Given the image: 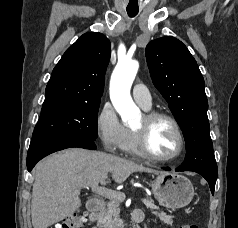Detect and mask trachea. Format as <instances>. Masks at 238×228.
<instances>
[{"label":"trachea","mask_w":238,"mask_h":228,"mask_svg":"<svg viewBox=\"0 0 238 228\" xmlns=\"http://www.w3.org/2000/svg\"><path fill=\"white\" fill-rule=\"evenodd\" d=\"M127 13L130 17H134L138 14V11L127 10Z\"/></svg>","instance_id":"obj_1"}]
</instances>
